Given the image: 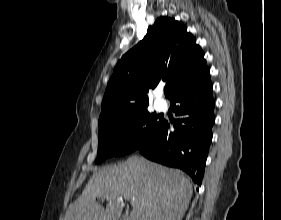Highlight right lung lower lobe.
<instances>
[{
    "mask_svg": "<svg viewBox=\"0 0 281 220\" xmlns=\"http://www.w3.org/2000/svg\"><path fill=\"white\" fill-rule=\"evenodd\" d=\"M212 91L208 80L172 97L171 105L176 106L175 114L179 116L174 132L163 120L137 151L152 161L182 169L201 186L214 124Z\"/></svg>",
    "mask_w": 281,
    "mask_h": 220,
    "instance_id": "right-lung-lower-lobe-1",
    "label": "right lung lower lobe"
}]
</instances>
